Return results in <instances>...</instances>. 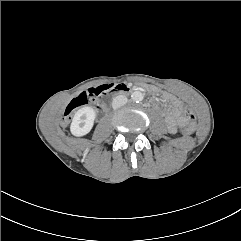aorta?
Returning a JSON list of instances; mask_svg holds the SVG:
<instances>
[{
  "mask_svg": "<svg viewBox=\"0 0 241 241\" xmlns=\"http://www.w3.org/2000/svg\"><path fill=\"white\" fill-rule=\"evenodd\" d=\"M131 98H132V100L135 101V102H140V101L143 100L144 96H143V93H142V92H140V91H135V92L132 93Z\"/></svg>",
  "mask_w": 241,
  "mask_h": 241,
  "instance_id": "762f6f07",
  "label": "aorta"
}]
</instances>
